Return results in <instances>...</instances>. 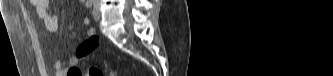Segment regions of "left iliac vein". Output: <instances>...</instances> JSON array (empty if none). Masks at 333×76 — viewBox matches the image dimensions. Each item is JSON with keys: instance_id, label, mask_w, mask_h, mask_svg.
Returning a JSON list of instances; mask_svg holds the SVG:
<instances>
[{"instance_id": "4c4485c4", "label": "left iliac vein", "mask_w": 333, "mask_h": 76, "mask_svg": "<svg viewBox=\"0 0 333 76\" xmlns=\"http://www.w3.org/2000/svg\"><path fill=\"white\" fill-rule=\"evenodd\" d=\"M93 17L95 20L100 19V11H99V7L97 4L94 6V9H93Z\"/></svg>"}]
</instances>
